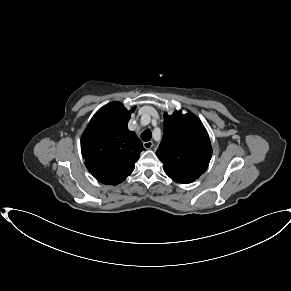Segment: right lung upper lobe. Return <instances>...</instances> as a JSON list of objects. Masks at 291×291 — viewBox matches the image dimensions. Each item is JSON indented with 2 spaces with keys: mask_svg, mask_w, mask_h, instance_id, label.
Returning <instances> with one entry per match:
<instances>
[{
  "mask_svg": "<svg viewBox=\"0 0 291 291\" xmlns=\"http://www.w3.org/2000/svg\"><path fill=\"white\" fill-rule=\"evenodd\" d=\"M121 103L103 106L81 137V152L89 172L101 183L116 185L134 170L142 142L127 128L131 113Z\"/></svg>",
  "mask_w": 291,
  "mask_h": 291,
  "instance_id": "right-lung-upper-lobe-1",
  "label": "right lung upper lobe"
}]
</instances>
